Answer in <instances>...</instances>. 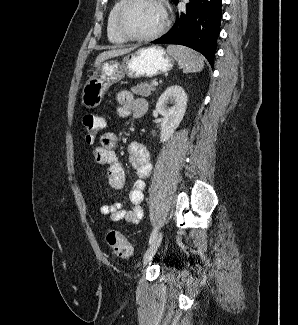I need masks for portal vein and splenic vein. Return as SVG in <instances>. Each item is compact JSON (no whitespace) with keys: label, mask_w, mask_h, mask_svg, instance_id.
<instances>
[{"label":"portal vein and splenic vein","mask_w":298,"mask_h":325,"mask_svg":"<svg viewBox=\"0 0 298 325\" xmlns=\"http://www.w3.org/2000/svg\"><path fill=\"white\" fill-rule=\"evenodd\" d=\"M153 84H155V86H157V84H159V82H157V80H153Z\"/></svg>","instance_id":"18ae733b"}]
</instances>
